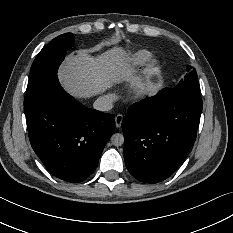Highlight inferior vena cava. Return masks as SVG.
I'll list each match as a JSON object with an SVG mask.
<instances>
[{
  "instance_id": "inferior-vena-cava-1",
  "label": "inferior vena cava",
  "mask_w": 233,
  "mask_h": 233,
  "mask_svg": "<svg viewBox=\"0 0 233 233\" xmlns=\"http://www.w3.org/2000/svg\"><path fill=\"white\" fill-rule=\"evenodd\" d=\"M113 103L110 98L100 97L92 105L93 109L98 111H108L112 109Z\"/></svg>"
}]
</instances>
